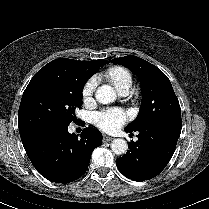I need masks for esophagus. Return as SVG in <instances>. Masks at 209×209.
<instances>
[{
    "label": "esophagus",
    "instance_id": "34e87169",
    "mask_svg": "<svg viewBox=\"0 0 209 209\" xmlns=\"http://www.w3.org/2000/svg\"><path fill=\"white\" fill-rule=\"evenodd\" d=\"M114 138L113 137H110L108 135H103V142H109V141H112Z\"/></svg>",
    "mask_w": 209,
    "mask_h": 209
}]
</instances>
